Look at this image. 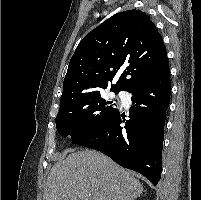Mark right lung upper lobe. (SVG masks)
Returning a JSON list of instances; mask_svg holds the SVG:
<instances>
[{"label":"right lung upper lobe","mask_w":201,"mask_h":200,"mask_svg":"<svg viewBox=\"0 0 201 200\" xmlns=\"http://www.w3.org/2000/svg\"><path fill=\"white\" fill-rule=\"evenodd\" d=\"M169 70L155 24L141 11L120 12L88 33L76 48L63 82L61 101L100 92H131Z\"/></svg>","instance_id":"right-lung-upper-lobe-1"}]
</instances>
